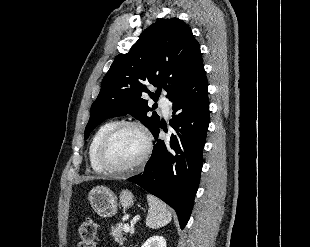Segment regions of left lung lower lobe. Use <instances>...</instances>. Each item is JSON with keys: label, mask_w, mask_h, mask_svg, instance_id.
<instances>
[{"label": "left lung lower lobe", "mask_w": 310, "mask_h": 247, "mask_svg": "<svg viewBox=\"0 0 310 247\" xmlns=\"http://www.w3.org/2000/svg\"><path fill=\"white\" fill-rule=\"evenodd\" d=\"M208 82L202 66L169 100L173 102L172 134L158 139L143 173L133 182L157 196L177 213L181 229L187 224L198 189L203 148L209 126Z\"/></svg>", "instance_id": "obj_1"}]
</instances>
